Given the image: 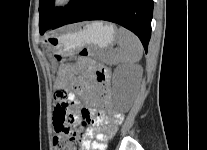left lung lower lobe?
I'll return each mask as SVG.
<instances>
[{
    "instance_id": "1",
    "label": "left lung lower lobe",
    "mask_w": 207,
    "mask_h": 150,
    "mask_svg": "<svg viewBox=\"0 0 207 150\" xmlns=\"http://www.w3.org/2000/svg\"><path fill=\"white\" fill-rule=\"evenodd\" d=\"M152 14L153 0H77L52 28L85 20H106L135 33L147 51Z\"/></svg>"
}]
</instances>
